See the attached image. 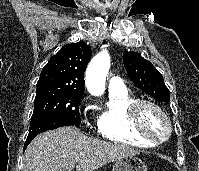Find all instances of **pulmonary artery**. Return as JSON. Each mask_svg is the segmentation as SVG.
I'll list each match as a JSON object with an SVG mask.
<instances>
[{
    "instance_id": "e3ab8cb5",
    "label": "pulmonary artery",
    "mask_w": 199,
    "mask_h": 171,
    "mask_svg": "<svg viewBox=\"0 0 199 171\" xmlns=\"http://www.w3.org/2000/svg\"><path fill=\"white\" fill-rule=\"evenodd\" d=\"M109 91H116V90H122L125 88L122 80L119 78V77H112L110 80H109Z\"/></svg>"
}]
</instances>
